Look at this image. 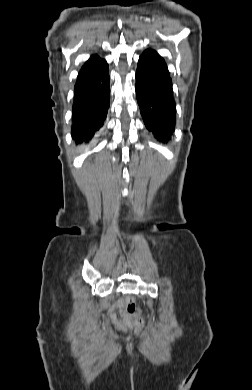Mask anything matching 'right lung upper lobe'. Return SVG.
<instances>
[{"label":"right lung upper lobe","instance_id":"obj_1","mask_svg":"<svg viewBox=\"0 0 252 390\" xmlns=\"http://www.w3.org/2000/svg\"><path fill=\"white\" fill-rule=\"evenodd\" d=\"M107 65L106 61L98 56H91L90 59L82 66L79 75L95 74L104 69Z\"/></svg>","mask_w":252,"mask_h":390}]
</instances>
